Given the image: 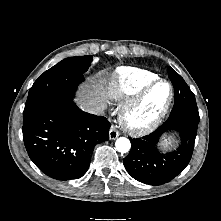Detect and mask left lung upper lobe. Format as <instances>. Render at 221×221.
<instances>
[{"label": "left lung upper lobe", "instance_id": "5c2ea615", "mask_svg": "<svg viewBox=\"0 0 221 221\" xmlns=\"http://www.w3.org/2000/svg\"><path fill=\"white\" fill-rule=\"evenodd\" d=\"M167 70L172 84L181 83L188 86L183 80V78L178 73H176L170 66H168ZM189 117H192L191 118L192 120H197V121H199L200 119L196 102H195V110L191 114H189Z\"/></svg>", "mask_w": 221, "mask_h": 221}]
</instances>
